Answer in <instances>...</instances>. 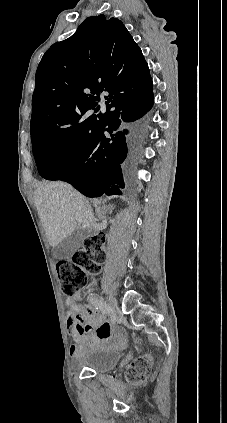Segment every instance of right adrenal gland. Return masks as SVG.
<instances>
[{
	"label": "right adrenal gland",
	"mask_w": 227,
	"mask_h": 423,
	"mask_svg": "<svg viewBox=\"0 0 227 423\" xmlns=\"http://www.w3.org/2000/svg\"><path fill=\"white\" fill-rule=\"evenodd\" d=\"M115 206H111V204H109V206H102V208H96V211L98 213V215H104V213H112V211L114 210Z\"/></svg>",
	"instance_id": "obj_1"
}]
</instances>
